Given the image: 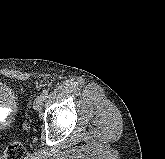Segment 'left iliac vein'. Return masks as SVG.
Returning a JSON list of instances; mask_svg holds the SVG:
<instances>
[{"label":"left iliac vein","instance_id":"1","mask_svg":"<svg viewBox=\"0 0 165 159\" xmlns=\"http://www.w3.org/2000/svg\"><path fill=\"white\" fill-rule=\"evenodd\" d=\"M43 103H44V98L41 95L37 96L33 103L34 109L41 110L43 107Z\"/></svg>","mask_w":165,"mask_h":159}]
</instances>
